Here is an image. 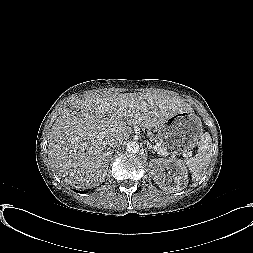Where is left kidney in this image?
<instances>
[{
    "mask_svg": "<svg viewBox=\"0 0 253 253\" xmlns=\"http://www.w3.org/2000/svg\"><path fill=\"white\" fill-rule=\"evenodd\" d=\"M152 165L153 179L159 187L181 191L187 186L188 172L185 165L166 159L152 160ZM165 169L169 172V178H166L165 174H163Z\"/></svg>",
    "mask_w": 253,
    "mask_h": 253,
    "instance_id": "1",
    "label": "left kidney"
}]
</instances>
